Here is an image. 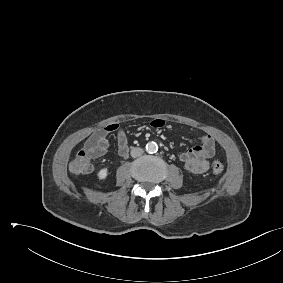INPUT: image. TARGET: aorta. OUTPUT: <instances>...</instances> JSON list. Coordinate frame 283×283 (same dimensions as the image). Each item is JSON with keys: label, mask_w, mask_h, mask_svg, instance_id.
Returning <instances> with one entry per match:
<instances>
[{"label": "aorta", "mask_w": 283, "mask_h": 283, "mask_svg": "<svg viewBox=\"0 0 283 283\" xmlns=\"http://www.w3.org/2000/svg\"><path fill=\"white\" fill-rule=\"evenodd\" d=\"M158 150V145L155 142H148L146 144V151L148 153H155Z\"/></svg>", "instance_id": "aorta-1"}]
</instances>
